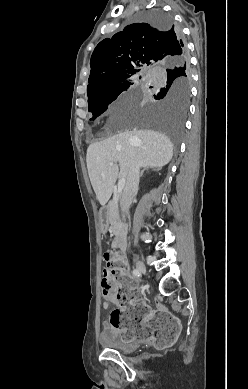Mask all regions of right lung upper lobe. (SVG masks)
Listing matches in <instances>:
<instances>
[{
	"label": "right lung upper lobe",
	"instance_id": "cb5924a9",
	"mask_svg": "<svg viewBox=\"0 0 248 389\" xmlns=\"http://www.w3.org/2000/svg\"><path fill=\"white\" fill-rule=\"evenodd\" d=\"M179 31L159 29L147 23L128 25L93 51L87 95L109 86L117 78L137 72L143 65L158 67L172 59L186 60V47L178 44ZM178 47V51L176 50Z\"/></svg>",
	"mask_w": 248,
	"mask_h": 389
}]
</instances>
